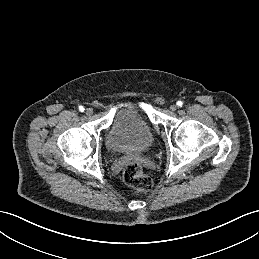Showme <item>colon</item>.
<instances>
[{
	"label": "colon",
	"mask_w": 259,
	"mask_h": 259,
	"mask_svg": "<svg viewBox=\"0 0 259 259\" xmlns=\"http://www.w3.org/2000/svg\"><path fill=\"white\" fill-rule=\"evenodd\" d=\"M123 181L134 193L150 191L153 187L152 179L144 174L141 164L130 161L123 170Z\"/></svg>",
	"instance_id": "5ec220e1"
}]
</instances>
